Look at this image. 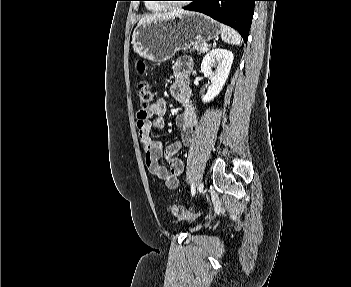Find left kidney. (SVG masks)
Here are the masks:
<instances>
[{
  "label": "left kidney",
  "mask_w": 351,
  "mask_h": 287,
  "mask_svg": "<svg viewBox=\"0 0 351 287\" xmlns=\"http://www.w3.org/2000/svg\"><path fill=\"white\" fill-rule=\"evenodd\" d=\"M233 53L227 49H213L205 55L201 63V72L211 81V85L205 95L202 96L204 103L212 101L222 90L232 63ZM216 68L215 71L212 69Z\"/></svg>",
  "instance_id": "left-kidney-1"
}]
</instances>
